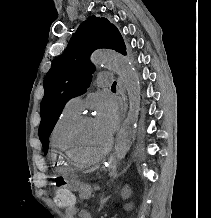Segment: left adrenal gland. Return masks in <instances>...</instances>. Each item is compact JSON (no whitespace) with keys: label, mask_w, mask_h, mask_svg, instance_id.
<instances>
[{"label":"left adrenal gland","mask_w":211,"mask_h":218,"mask_svg":"<svg viewBox=\"0 0 211 218\" xmlns=\"http://www.w3.org/2000/svg\"><path fill=\"white\" fill-rule=\"evenodd\" d=\"M110 196H108V198H104V196H102V198H100L101 202H100V208H99V212L101 210V208H103L104 204H106L107 200H109Z\"/></svg>","instance_id":"left-adrenal-gland-1"}]
</instances>
